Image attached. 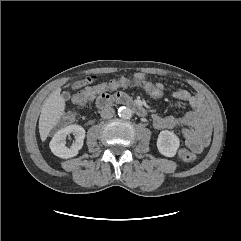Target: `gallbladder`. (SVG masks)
Segmentation results:
<instances>
[{
	"label": "gallbladder",
	"mask_w": 241,
	"mask_h": 241,
	"mask_svg": "<svg viewBox=\"0 0 241 241\" xmlns=\"http://www.w3.org/2000/svg\"><path fill=\"white\" fill-rule=\"evenodd\" d=\"M70 97H71V95H70L69 92L64 91V92L62 93V98H63L64 100H69Z\"/></svg>",
	"instance_id": "gallbladder-1"
}]
</instances>
